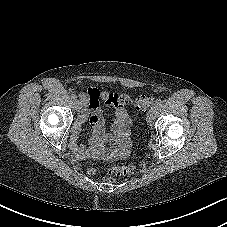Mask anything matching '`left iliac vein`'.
<instances>
[{
	"mask_svg": "<svg viewBox=\"0 0 227 227\" xmlns=\"http://www.w3.org/2000/svg\"><path fill=\"white\" fill-rule=\"evenodd\" d=\"M156 112H157V108L156 106H153L150 108V110L147 113V122L149 123V125H152L154 122V119L156 117Z\"/></svg>",
	"mask_w": 227,
	"mask_h": 227,
	"instance_id": "obj_1",
	"label": "left iliac vein"
}]
</instances>
